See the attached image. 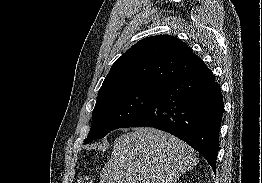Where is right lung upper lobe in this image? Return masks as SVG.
<instances>
[{
  "label": "right lung upper lobe",
  "instance_id": "1",
  "mask_svg": "<svg viewBox=\"0 0 262 183\" xmlns=\"http://www.w3.org/2000/svg\"><path fill=\"white\" fill-rule=\"evenodd\" d=\"M205 63L187 44L171 35L151 36L138 41L111 67L98 97L120 90H158Z\"/></svg>",
  "mask_w": 262,
  "mask_h": 183
}]
</instances>
